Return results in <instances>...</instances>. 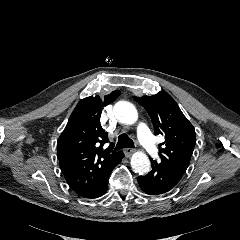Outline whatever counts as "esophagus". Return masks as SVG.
<instances>
[{"label":"esophagus","mask_w":240,"mask_h":240,"mask_svg":"<svg viewBox=\"0 0 240 240\" xmlns=\"http://www.w3.org/2000/svg\"><path fill=\"white\" fill-rule=\"evenodd\" d=\"M134 152V149L131 147L125 148L124 149V153L127 157H130L132 155V153Z\"/></svg>","instance_id":"1"}]
</instances>
